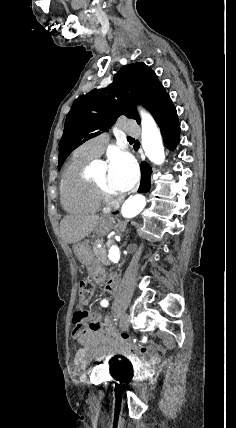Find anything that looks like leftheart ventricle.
I'll use <instances>...</instances> for the list:
<instances>
[{
    "mask_svg": "<svg viewBox=\"0 0 236 428\" xmlns=\"http://www.w3.org/2000/svg\"><path fill=\"white\" fill-rule=\"evenodd\" d=\"M95 180H97L98 182L102 183L103 185H105V187L108 189V191L115 195L118 196L121 193H119L111 184L110 179H109V171L107 169V167L100 171L99 173L96 174V176L94 177Z\"/></svg>",
    "mask_w": 236,
    "mask_h": 428,
    "instance_id": "b2bd125f",
    "label": "left heart ventricle"
}]
</instances>
